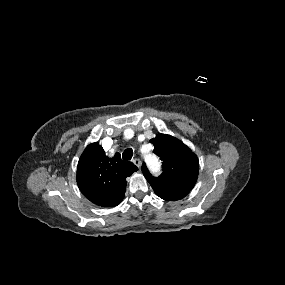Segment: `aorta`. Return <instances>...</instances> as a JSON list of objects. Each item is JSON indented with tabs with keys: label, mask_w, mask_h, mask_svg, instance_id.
I'll return each mask as SVG.
<instances>
[{
	"label": "aorta",
	"mask_w": 285,
	"mask_h": 285,
	"mask_svg": "<svg viewBox=\"0 0 285 285\" xmlns=\"http://www.w3.org/2000/svg\"><path fill=\"white\" fill-rule=\"evenodd\" d=\"M146 162L152 170L159 169V163L155 156H146Z\"/></svg>",
	"instance_id": "aorta-1"
}]
</instances>
